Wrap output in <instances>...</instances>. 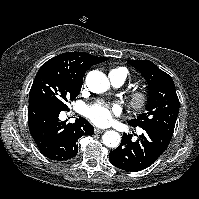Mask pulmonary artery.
<instances>
[{
  "mask_svg": "<svg viewBox=\"0 0 199 199\" xmlns=\"http://www.w3.org/2000/svg\"><path fill=\"white\" fill-rule=\"evenodd\" d=\"M109 78L113 86L120 87L124 83L123 75L118 71L109 72Z\"/></svg>",
  "mask_w": 199,
  "mask_h": 199,
  "instance_id": "e3ab8cb5",
  "label": "pulmonary artery"
}]
</instances>
